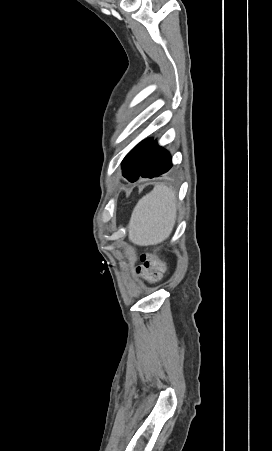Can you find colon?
<instances>
[{"instance_id": "5ec220e1", "label": "colon", "mask_w": 272, "mask_h": 451, "mask_svg": "<svg viewBox=\"0 0 272 451\" xmlns=\"http://www.w3.org/2000/svg\"><path fill=\"white\" fill-rule=\"evenodd\" d=\"M140 260L142 261V265L137 266L135 272L138 276L145 278L149 282L159 280L168 269L165 262L149 252L142 253Z\"/></svg>"}]
</instances>
